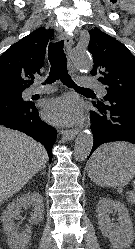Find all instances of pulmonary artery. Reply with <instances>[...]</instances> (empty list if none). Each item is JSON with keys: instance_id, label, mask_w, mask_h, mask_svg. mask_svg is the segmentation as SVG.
I'll return each mask as SVG.
<instances>
[{"instance_id": "obj_1", "label": "pulmonary artery", "mask_w": 135, "mask_h": 249, "mask_svg": "<svg viewBox=\"0 0 135 249\" xmlns=\"http://www.w3.org/2000/svg\"><path fill=\"white\" fill-rule=\"evenodd\" d=\"M79 84L87 88H97L102 95H106L105 88L93 77L83 76L78 79ZM55 88L51 85L40 86L35 85L26 91L27 96H32L39 93H50L53 92Z\"/></svg>"}]
</instances>
